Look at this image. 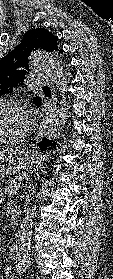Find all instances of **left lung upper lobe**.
I'll use <instances>...</instances> for the list:
<instances>
[{
	"label": "left lung upper lobe",
	"mask_w": 113,
	"mask_h": 279,
	"mask_svg": "<svg viewBox=\"0 0 113 279\" xmlns=\"http://www.w3.org/2000/svg\"><path fill=\"white\" fill-rule=\"evenodd\" d=\"M58 38L48 30L37 28L28 31L21 43L0 59V95L11 92L23 84L26 69L28 70V57L33 50H58ZM63 53V50H60ZM40 98L34 97L35 104Z\"/></svg>",
	"instance_id": "1"
}]
</instances>
